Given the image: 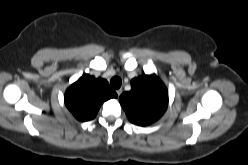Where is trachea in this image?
Segmentation results:
<instances>
[{"mask_svg": "<svg viewBox=\"0 0 248 165\" xmlns=\"http://www.w3.org/2000/svg\"><path fill=\"white\" fill-rule=\"evenodd\" d=\"M110 84H111L112 88L118 89V88H120V86H121V84H122V80H121V78H119V77H113V78L110 80Z\"/></svg>", "mask_w": 248, "mask_h": 165, "instance_id": "1", "label": "trachea"}]
</instances>
